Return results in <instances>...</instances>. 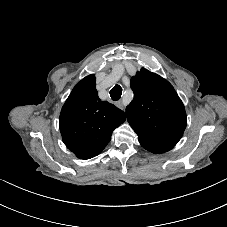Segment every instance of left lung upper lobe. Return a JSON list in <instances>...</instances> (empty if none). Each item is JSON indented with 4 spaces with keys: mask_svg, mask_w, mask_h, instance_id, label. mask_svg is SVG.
I'll return each instance as SVG.
<instances>
[{
    "mask_svg": "<svg viewBox=\"0 0 227 227\" xmlns=\"http://www.w3.org/2000/svg\"><path fill=\"white\" fill-rule=\"evenodd\" d=\"M134 98L126 107L127 120L135 130L143 129L176 145L186 128L184 105L171 84L142 68L131 78Z\"/></svg>",
    "mask_w": 227,
    "mask_h": 227,
    "instance_id": "1",
    "label": "left lung upper lobe"
}]
</instances>
